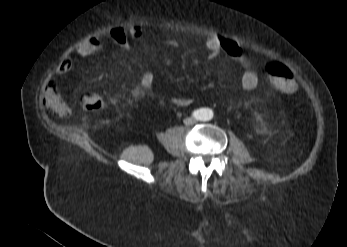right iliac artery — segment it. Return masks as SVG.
<instances>
[{"instance_id": "1", "label": "right iliac artery", "mask_w": 347, "mask_h": 247, "mask_svg": "<svg viewBox=\"0 0 347 247\" xmlns=\"http://www.w3.org/2000/svg\"><path fill=\"white\" fill-rule=\"evenodd\" d=\"M192 115H193L194 118L199 119L200 115H201V112L197 110V111H194Z\"/></svg>"}]
</instances>
